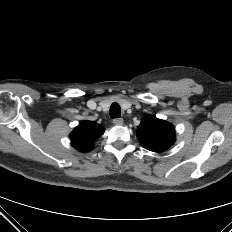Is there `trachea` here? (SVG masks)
I'll return each mask as SVG.
<instances>
[{"label": "trachea", "instance_id": "1", "mask_svg": "<svg viewBox=\"0 0 232 232\" xmlns=\"http://www.w3.org/2000/svg\"><path fill=\"white\" fill-rule=\"evenodd\" d=\"M121 116V108L119 104L113 103L110 107V117L111 118H118Z\"/></svg>", "mask_w": 232, "mask_h": 232}]
</instances>
